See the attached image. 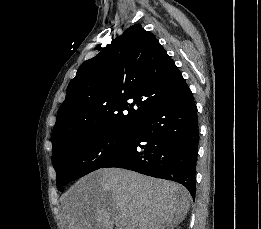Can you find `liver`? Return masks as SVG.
Returning a JSON list of instances; mask_svg holds the SVG:
<instances>
[{"label":"liver","mask_w":261,"mask_h":229,"mask_svg":"<svg viewBox=\"0 0 261 229\" xmlns=\"http://www.w3.org/2000/svg\"><path fill=\"white\" fill-rule=\"evenodd\" d=\"M191 197L174 181L126 169H98L62 197L66 229H174Z\"/></svg>","instance_id":"obj_1"}]
</instances>
